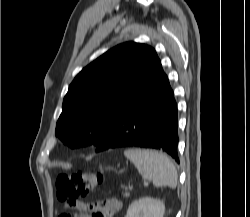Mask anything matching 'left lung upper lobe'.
I'll use <instances>...</instances> for the list:
<instances>
[{
	"label": "left lung upper lobe",
	"mask_w": 250,
	"mask_h": 217,
	"mask_svg": "<svg viewBox=\"0 0 250 217\" xmlns=\"http://www.w3.org/2000/svg\"><path fill=\"white\" fill-rule=\"evenodd\" d=\"M157 59L152 47L127 42L90 63L69 86L56 136L71 148L98 146Z\"/></svg>",
	"instance_id": "5c2ea615"
}]
</instances>
